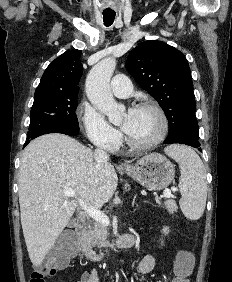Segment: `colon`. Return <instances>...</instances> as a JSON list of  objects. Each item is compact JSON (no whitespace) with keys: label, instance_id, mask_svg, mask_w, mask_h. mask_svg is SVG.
Masks as SVG:
<instances>
[{"label":"colon","instance_id":"obj_1","mask_svg":"<svg viewBox=\"0 0 232 282\" xmlns=\"http://www.w3.org/2000/svg\"><path fill=\"white\" fill-rule=\"evenodd\" d=\"M78 249L77 240L72 235H65L49 251L47 257L37 264L31 275L30 282H49L56 269L65 267ZM192 270V257L187 251H180L175 262V277L172 282H189Z\"/></svg>","mask_w":232,"mask_h":282}]
</instances>
